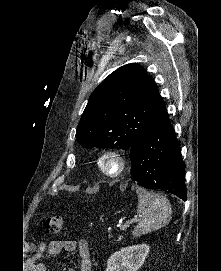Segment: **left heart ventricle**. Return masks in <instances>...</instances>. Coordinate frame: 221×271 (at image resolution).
Instances as JSON below:
<instances>
[{
    "label": "left heart ventricle",
    "mask_w": 221,
    "mask_h": 271,
    "mask_svg": "<svg viewBox=\"0 0 221 271\" xmlns=\"http://www.w3.org/2000/svg\"><path fill=\"white\" fill-rule=\"evenodd\" d=\"M111 176H115V173H111Z\"/></svg>",
    "instance_id": "obj_1"
}]
</instances>
